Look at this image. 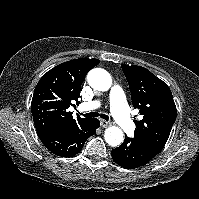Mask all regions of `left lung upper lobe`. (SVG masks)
I'll return each mask as SVG.
<instances>
[{
  "instance_id": "1",
  "label": "left lung upper lobe",
  "mask_w": 199,
  "mask_h": 199,
  "mask_svg": "<svg viewBox=\"0 0 199 199\" xmlns=\"http://www.w3.org/2000/svg\"><path fill=\"white\" fill-rule=\"evenodd\" d=\"M121 67L130 87L132 104L143 115L142 120L134 121V138L160 152L176 119V105L171 90L144 67Z\"/></svg>"
}]
</instances>
